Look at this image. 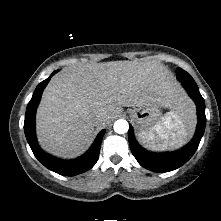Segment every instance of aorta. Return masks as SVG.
<instances>
[{
	"mask_svg": "<svg viewBox=\"0 0 221 221\" xmlns=\"http://www.w3.org/2000/svg\"><path fill=\"white\" fill-rule=\"evenodd\" d=\"M129 124L126 120L120 119L114 123V131L118 134H124L128 131Z\"/></svg>",
	"mask_w": 221,
	"mask_h": 221,
	"instance_id": "762f6f07",
	"label": "aorta"
}]
</instances>
